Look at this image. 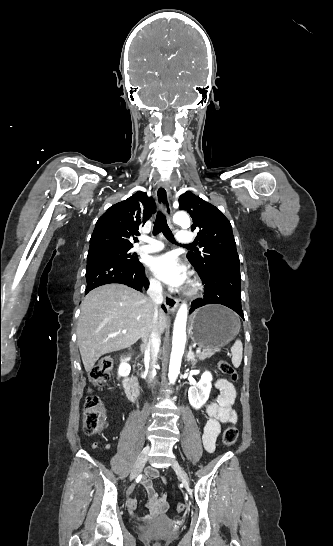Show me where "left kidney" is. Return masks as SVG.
Masks as SVG:
<instances>
[{
  "mask_svg": "<svg viewBox=\"0 0 333 546\" xmlns=\"http://www.w3.org/2000/svg\"><path fill=\"white\" fill-rule=\"evenodd\" d=\"M212 374L206 371L202 374L200 381L191 386L188 391L189 402L195 409H200L208 400L212 388Z\"/></svg>",
  "mask_w": 333,
  "mask_h": 546,
  "instance_id": "left-kidney-1",
  "label": "left kidney"
}]
</instances>
